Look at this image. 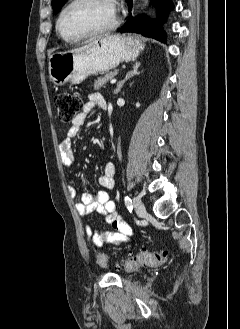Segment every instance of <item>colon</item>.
Segmentation results:
<instances>
[{
  "instance_id": "1",
  "label": "colon",
  "mask_w": 240,
  "mask_h": 329,
  "mask_svg": "<svg viewBox=\"0 0 240 329\" xmlns=\"http://www.w3.org/2000/svg\"><path fill=\"white\" fill-rule=\"evenodd\" d=\"M54 105L58 111L59 119L64 123L72 122L82 109V100L79 96L71 93H59L55 96ZM166 258L162 251L149 252L143 251L130 257L125 262V269L133 271L142 266L157 267L161 265ZM96 261L102 268L108 267V261L105 255L98 253Z\"/></svg>"
}]
</instances>
